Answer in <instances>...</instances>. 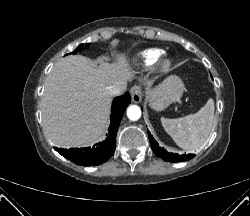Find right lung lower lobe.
Instances as JSON below:
<instances>
[{
  "label": "right lung lower lobe",
  "mask_w": 250,
  "mask_h": 216,
  "mask_svg": "<svg viewBox=\"0 0 250 216\" xmlns=\"http://www.w3.org/2000/svg\"><path fill=\"white\" fill-rule=\"evenodd\" d=\"M129 93L116 97L113 100L111 109V122L107 138L103 142L94 144L93 147L86 148H55L63 157L83 166H95L106 162L114 153L116 147V134L119 123L126 107L130 104Z\"/></svg>",
  "instance_id": "right-lung-lower-lobe-1"
}]
</instances>
